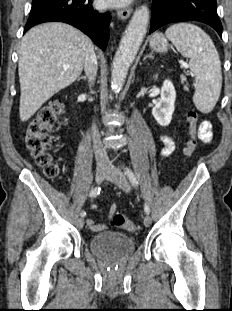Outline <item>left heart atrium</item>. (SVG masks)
<instances>
[{
    "mask_svg": "<svg viewBox=\"0 0 232 311\" xmlns=\"http://www.w3.org/2000/svg\"><path fill=\"white\" fill-rule=\"evenodd\" d=\"M107 7H123L131 3L132 0H101Z\"/></svg>",
    "mask_w": 232,
    "mask_h": 311,
    "instance_id": "left-heart-atrium-1",
    "label": "left heart atrium"
}]
</instances>
